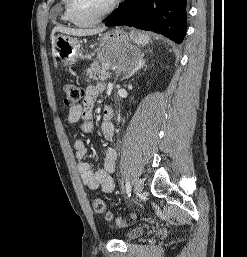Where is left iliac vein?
Instances as JSON below:
<instances>
[{
    "instance_id": "1",
    "label": "left iliac vein",
    "mask_w": 247,
    "mask_h": 257,
    "mask_svg": "<svg viewBox=\"0 0 247 257\" xmlns=\"http://www.w3.org/2000/svg\"><path fill=\"white\" fill-rule=\"evenodd\" d=\"M134 188L137 194H141L144 188V183L141 179H137L134 183Z\"/></svg>"
}]
</instances>
